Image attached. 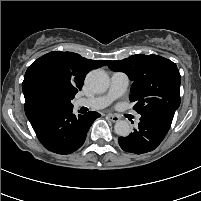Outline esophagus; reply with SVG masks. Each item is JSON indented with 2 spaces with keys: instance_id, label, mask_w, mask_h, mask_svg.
<instances>
[{
  "instance_id": "obj_1",
  "label": "esophagus",
  "mask_w": 201,
  "mask_h": 201,
  "mask_svg": "<svg viewBox=\"0 0 201 201\" xmlns=\"http://www.w3.org/2000/svg\"><path fill=\"white\" fill-rule=\"evenodd\" d=\"M106 117L114 123L120 120L119 116L113 114H108Z\"/></svg>"
}]
</instances>
